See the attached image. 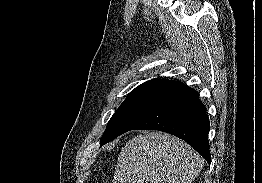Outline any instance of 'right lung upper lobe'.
<instances>
[{"instance_id": "obj_1", "label": "right lung upper lobe", "mask_w": 262, "mask_h": 183, "mask_svg": "<svg viewBox=\"0 0 262 183\" xmlns=\"http://www.w3.org/2000/svg\"><path fill=\"white\" fill-rule=\"evenodd\" d=\"M172 81L168 79H152L143 84L136 87L132 92H144V91H155L158 92L167 84L171 83Z\"/></svg>"}]
</instances>
